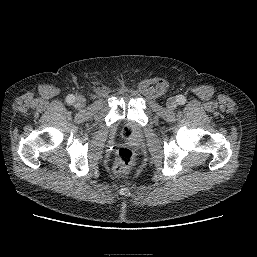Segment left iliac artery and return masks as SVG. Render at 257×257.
Instances as JSON below:
<instances>
[{
    "instance_id": "44dca946",
    "label": "left iliac artery",
    "mask_w": 257,
    "mask_h": 257,
    "mask_svg": "<svg viewBox=\"0 0 257 257\" xmlns=\"http://www.w3.org/2000/svg\"><path fill=\"white\" fill-rule=\"evenodd\" d=\"M177 102L182 105L186 102V98L183 95H178Z\"/></svg>"
}]
</instances>
